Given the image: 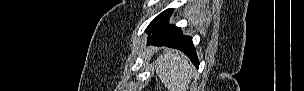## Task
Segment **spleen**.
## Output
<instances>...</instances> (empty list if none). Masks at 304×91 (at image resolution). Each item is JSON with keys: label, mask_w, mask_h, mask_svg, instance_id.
<instances>
[{"label": "spleen", "mask_w": 304, "mask_h": 91, "mask_svg": "<svg viewBox=\"0 0 304 91\" xmlns=\"http://www.w3.org/2000/svg\"><path fill=\"white\" fill-rule=\"evenodd\" d=\"M155 70L168 91H187L194 69L187 57L170 50L158 56Z\"/></svg>", "instance_id": "spleen-1"}]
</instances>
